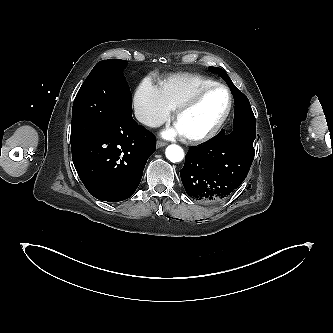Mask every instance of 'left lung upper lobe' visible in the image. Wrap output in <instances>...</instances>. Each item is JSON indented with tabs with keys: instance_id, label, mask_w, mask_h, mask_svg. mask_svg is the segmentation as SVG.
Instances as JSON below:
<instances>
[{
	"instance_id": "obj_1",
	"label": "left lung upper lobe",
	"mask_w": 333,
	"mask_h": 333,
	"mask_svg": "<svg viewBox=\"0 0 333 333\" xmlns=\"http://www.w3.org/2000/svg\"><path fill=\"white\" fill-rule=\"evenodd\" d=\"M209 71L219 74L229 84L234 96L238 95V96L244 98L245 101L247 102V104H249L248 99L245 97L244 94L241 93V91L239 89H237L234 86L231 79L229 78V76L227 75V73L223 69L218 68V67H209Z\"/></svg>"
}]
</instances>
